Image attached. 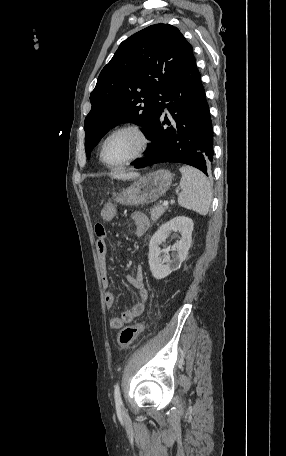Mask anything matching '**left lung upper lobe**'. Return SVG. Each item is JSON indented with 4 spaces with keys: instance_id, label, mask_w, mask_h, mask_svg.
<instances>
[{
    "instance_id": "1",
    "label": "left lung upper lobe",
    "mask_w": 286,
    "mask_h": 456,
    "mask_svg": "<svg viewBox=\"0 0 286 456\" xmlns=\"http://www.w3.org/2000/svg\"><path fill=\"white\" fill-rule=\"evenodd\" d=\"M193 60L192 46L169 24L149 26L123 41L90 94L92 108L84 122L87 158L120 123L143 126L147 137L170 87Z\"/></svg>"
}]
</instances>
